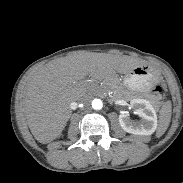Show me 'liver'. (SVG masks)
<instances>
[{
	"mask_svg": "<svg viewBox=\"0 0 183 183\" xmlns=\"http://www.w3.org/2000/svg\"><path fill=\"white\" fill-rule=\"evenodd\" d=\"M142 64L128 56L94 52H78L47 63L29 78L25 87L23 106L31 133L42 144L61 136L72 114L70 103L85 90L86 76L106 79Z\"/></svg>",
	"mask_w": 183,
	"mask_h": 183,
	"instance_id": "liver-1",
	"label": "liver"
}]
</instances>
